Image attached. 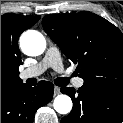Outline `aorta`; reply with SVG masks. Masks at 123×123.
<instances>
[{"mask_svg":"<svg viewBox=\"0 0 123 123\" xmlns=\"http://www.w3.org/2000/svg\"><path fill=\"white\" fill-rule=\"evenodd\" d=\"M22 51L29 56H39L46 48L45 37L38 31L29 30L22 34L20 38ZM54 109L60 114H68L72 110V100L69 96L61 94L55 97Z\"/></svg>","mask_w":123,"mask_h":123,"instance_id":"1","label":"aorta"}]
</instances>
